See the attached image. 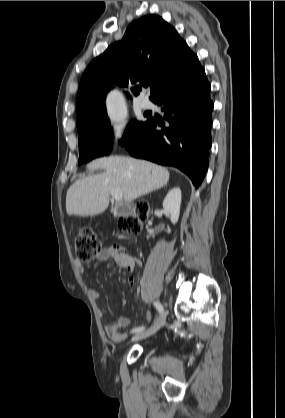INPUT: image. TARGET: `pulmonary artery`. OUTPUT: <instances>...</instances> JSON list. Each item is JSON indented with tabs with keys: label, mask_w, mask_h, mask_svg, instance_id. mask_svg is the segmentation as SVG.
I'll list each match as a JSON object with an SVG mask.
<instances>
[{
	"label": "pulmonary artery",
	"mask_w": 285,
	"mask_h": 418,
	"mask_svg": "<svg viewBox=\"0 0 285 418\" xmlns=\"http://www.w3.org/2000/svg\"><path fill=\"white\" fill-rule=\"evenodd\" d=\"M141 107L144 109V110H150V109H152L153 108V103L148 99V98H144L142 101H141Z\"/></svg>",
	"instance_id": "pulmonary-artery-1"
}]
</instances>
